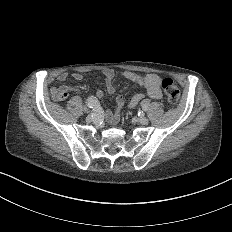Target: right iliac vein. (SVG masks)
<instances>
[{"label": "right iliac vein", "mask_w": 232, "mask_h": 232, "mask_svg": "<svg viewBox=\"0 0 232 232\" xmlns=\"http://www.w3.org/2000/svg\"><path fill=\"white\" fill-rule=\"evenodd\" d=\"M86 122H87V123H91V117H87V118H86Z\"/></svg>", "instance_id": "1"}]
</instances>
